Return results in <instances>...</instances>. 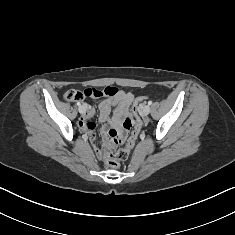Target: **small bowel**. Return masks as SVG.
Listing matches in <instances>:
<instances>
[{"label":"small bowel","mask_w":235,"mask_h":235,"mask_svg":"<svg viewBox=\"0 0 235 235\" xmlns=\"http://www.w3.org/2000/svg\"><path fill=\"white\" fill-rule=\"evenodd\" d=\"M114 94L107 96L99 105V121L102 124V130L105 132L120 124L122 117L129 114L130 106L134 100V96L130 92H124L114 87ZM86 109L85 114L79 119V126L86 130L90 140L94 143L93 131L95 123L91 120L94 115V109L91 105L83 103ZM116 107L111 117V109Z\"/></svg>","instance_id":"1"}]
</instances>
